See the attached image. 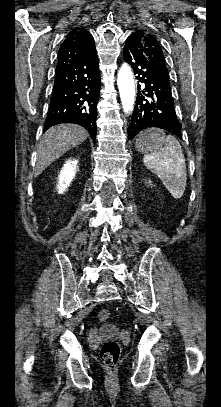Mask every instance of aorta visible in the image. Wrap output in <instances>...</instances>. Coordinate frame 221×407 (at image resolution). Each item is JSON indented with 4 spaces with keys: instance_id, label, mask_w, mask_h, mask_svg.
<instances>
[{
    "instance_id": "obj_1",
    "label": "aorta",
    "mask_w": 221,
    "mask_h": 407,
    "mask_svg": "<svg viewBox=\"0 0 221 407\" xmlns=\"http://www.w3.org/2000/svg\"><path fill=\"white\" fill-rule=\"evenodd\" d=\"M117 85L122 108L125 113H130L133 110L135 102V83L131 68L126 63L121 66L118 72Z\"/></svg>"
}]
</instances>
